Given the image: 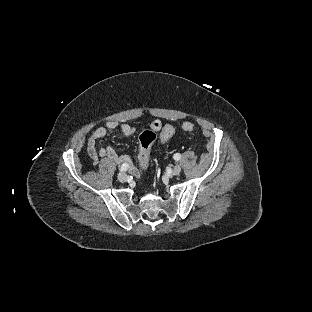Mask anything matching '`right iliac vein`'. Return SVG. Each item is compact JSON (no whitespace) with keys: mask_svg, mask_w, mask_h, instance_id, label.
<instances>
[{"mask_svg":"<svg viewBox=\"0 0 312 312\" xmlns=\"http://www.w3.org/2000/svg\"><path fill=\"white\" fill-rule=\"evenodd\" d=\"M117 178L120 182H125L127 180V175L124 172H120Z\"/></svg>","mask_w":312,"mask_h":312,"instance_id":"right-iliac-vein-1","label":"right iliac vein"}]
</instances>
